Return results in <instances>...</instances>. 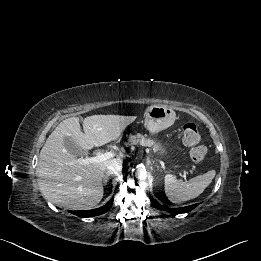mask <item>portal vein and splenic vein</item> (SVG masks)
Returning <instances> with one entry per match:
<instances>
[{"label": "portal vein and splenic vein", "mask_w": 261, "mask_h": 261, "mask_svg": "<svg viewBox=\"0 0 261 261\" xmlns=\"http://www.w3.org/2000/svg\"><path fill=\"white\" fill-rule=\"evenodd\" d=\"M116 156L115 152H106V153H98L94 157H86V158H79L77 160L78 163L80 164H90V163H95V162H103L108 159L114 158ZM184 179H186V175H181Z\"/></svg>", "instance_id": "1"}]
</instances>
